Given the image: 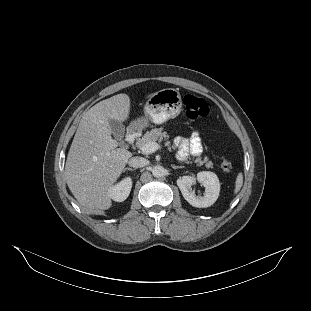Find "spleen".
<instances>
[{
    "label": "spleen",
    "instance_id": "obj_1",
    "mask_svg": "<svg viewBox=\"0 0 311 311\" xmlns=\"http://www.w3.org/2000/svg\"><path fill=\"white\" fill-rule=\"evenodd\" d=\"M243 185V174L242 173H239L237 175V178H236V181H235V190H234V193H238L241 189Z\"/></svg>",
    "mask_w": 311,
    "mask_h": 311
}]
</instances>
